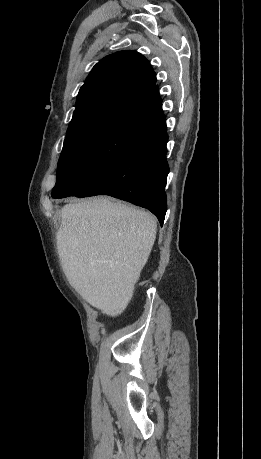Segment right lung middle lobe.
<instances>
[{"mask_svg":"<svg viewBox=\"0 0 261 459\" xmlns=\"http://www.w3.org/2000/svg\"><path fill=\"white\" fill-rule=\"evenodd\" d=\"M152 129L150 125L117 123L65 139L52 197L65 198L81 190L134 148Z\"/></svg>","mask_w":261,"mask_h":459,"instance_id":"dd1d6c3e","label":"right lung middle lobe"}]
</instances>
